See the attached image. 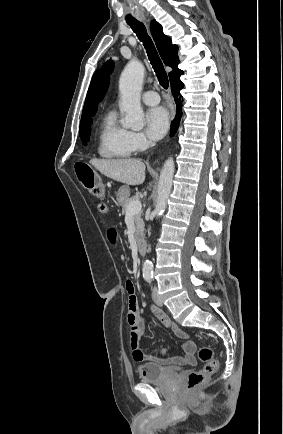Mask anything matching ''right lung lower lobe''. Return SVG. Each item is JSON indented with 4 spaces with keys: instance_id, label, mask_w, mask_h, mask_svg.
<instances>
[{
    "instance_id": "1",
    "label": "right lung lower lobe",
    "mask_w": 283,
    "mask_h": 434,
    "mask_svg": "<svg viewBox=\"0 0 283 434\" xmlns=\"http://www.w3.org/2000/svg\"><path fill=\"white\" fill-rule=\"evenodd\" d=\"M181 75L182 74L179 73L176 77L170 80L171 91L177 107L175 119L171 124V136H173L177 131L182 116V104H181V98L179 97V91L180 89L183 88V83L179 79Z\"/></svg>"
}]
</instances>
